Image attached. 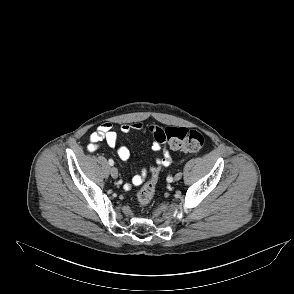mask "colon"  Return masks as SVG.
I'll use <instances>...</instances> for the list:
<instances>
[{"label":"colon","mask_w":294,"mask_h":294,"mask_svg":"<svg viewBox=\"0 0 294 294\" xmlns=\"http://www.w3.org/2000/svg\"><path fill=\"white\" fill-rule=\"evenodd\" d=\"M153 137L160 143H167L172 149L187 152L200 151L205 143L204 136L196 131L183 127L159 128L151 126ZM158 178V170L153 172L150 179L141 187L137 193V201L140 207H147L155 194Z\"/></svg>","instance_id":"1"}]
</instances>
